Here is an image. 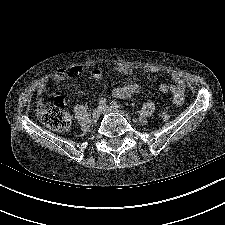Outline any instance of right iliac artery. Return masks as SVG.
<instances>
[{
    "instance_id": "obj_1",
    "label": "right iliac artery",
    "mask_w": 225,
    "mask_h": 225,
    "mask_svg": "<svg viewBox=\"0 0 225 225\" xmlns=\"http://www.w3.org/2000/svg\"><path fill=\"white\" fill-rule=\"evenodd\" d=\"M98 103L100 107H103L106 105L107 101L105 98H100Z\"/></svg>"
}]
</instances>
